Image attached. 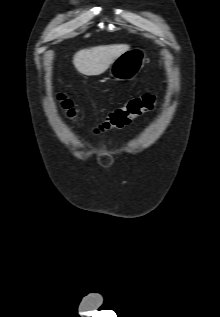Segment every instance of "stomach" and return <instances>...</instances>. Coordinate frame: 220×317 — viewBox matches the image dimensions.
<instances>
[{
    "mask_svg": "<svg viewBox=\"0 0 220 317\" xmlns=\"http://www.w3.org/2000/svg\"><path fill=\"white\" fill-rule=\"evenodd\" d=\"M145 52L140 48L128 49L111 64L109 73L117 81H131L144 67Z\"/></svg>",
    "mask_w": 220,
    "mask_h": 317,
    "instance_id": "stomach-1",
    "label": "stomach"
}]
</instances>
